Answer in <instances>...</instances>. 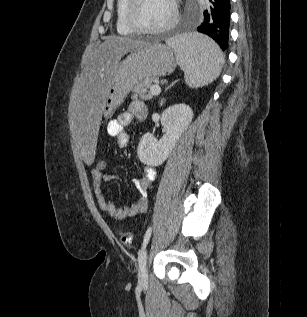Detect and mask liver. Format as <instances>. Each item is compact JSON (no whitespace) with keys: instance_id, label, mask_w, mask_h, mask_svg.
Here are the masks:
<instances>
[{"instance_id":"liver-1","label":"liver","mask_w":307,"mask_h":317,"mask_svg":"<svg viewBox=\"0 0 307 317\" xmlns=\"http://www.w3.org/2000/svg\"><path fill=\"white\" fill-rule=\"evenodd\" d=\"M146 43L127 37L108 36L94 51L73 89L69 106V127L84 167L94 166L96 137L103 102L111 86L118 62L128 52Z\"/></svg>"}]
</instances>
